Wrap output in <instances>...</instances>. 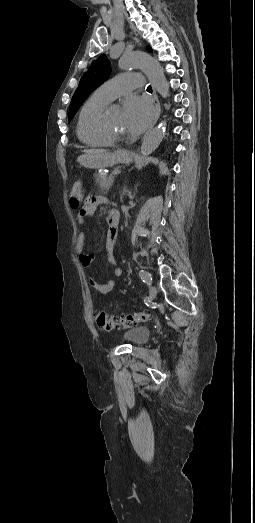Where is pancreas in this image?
I'll use <instances>...</instances> for the list:
<instances>
[{"instance_id":"pancreas-1","label":"pancreas","mask_w":255,"mask_h":523,"mask_svg":"<svg viewBox=\"0 0 255 523\" xmlns=\"http://www.w3.org/2000/svg\"><path fill=\"white\" fill-rule=\"evenodd\" d=\"M95 184L104 188V190H109L113 180L112 174L110 176H102V174H94Z\"/></svg>"}]
</instances>
